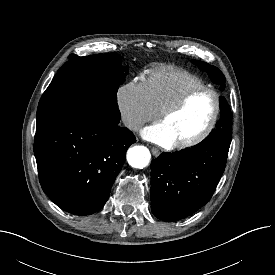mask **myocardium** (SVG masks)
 Instances as JSON below:
<instances>
[{
	"label": "myocardium",
	"mask_w": 275,
	"mask_h": 275,
	"mask_svg": "<svg viewBox=\"0 0 275 275\" xmlns=\"http://www.w3.org/2000/svg\"><path fill=\"white\" fill-rule=\"evenodd\" d=\"M200 92H209L214 97V109L211 114V117L208 123L206 124V126L197 135L187 140L175 142L174 145L177 148L184 149V148L195 146L201 143L212 132L220 114V107H221L220 95L217 92V90L206 85L195 87L186 91L177 100H175L173 103H171L170 105H168L167 107H165L163 110L159 112L158 118L160 121H162L169 115L179 111L194 95Z\"/></svg>",
	"instance_id": "obj_1"
}]
</instances>
